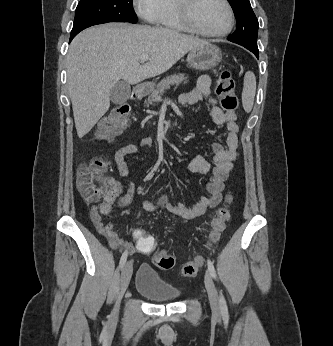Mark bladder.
<instances>
[{"instance_id": "31cf9c89", "label": "bladder", "mask_w": 333, "mask_h": 346, "mask_svg": "<svg viewBox=\"0 0 333 346\" xmlns=\"http://www.w3.org/2000/svg\"><path fill=\"white\" fill-rule=\"evenodd\" d=\"M135 289L155 303L174 302L181 291L164 280L149 265H141L137 271Z\"/></svg>"}]
</instances>
